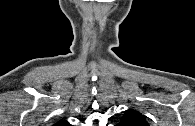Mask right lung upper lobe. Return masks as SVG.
Segmentation results:
<instances>
[{"mask_svg":"<svg viewBox=\"0 0 195 126\" xmlns=\"http://www.w3.org/2000/svg\"><path fill=\"white\" fill-rule=\"evenodd\" d=\"M53 126H69V123L65 120H60L57 123H55Z\"/></svg>","mask_w":195,"mask_h":126,"instance_id":"1","label":"right lung upper lobe"}]
</instances>
